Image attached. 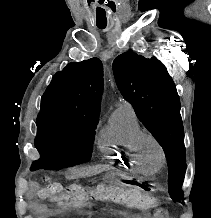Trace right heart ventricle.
I'll return each instance as SVG.
<instances>
[{"instance_id":"e07e8e85","label":"right heart ventricle","mask_w":211,"mask_h":218,"mask_svg":"<svg viewBox=\"0 0 211 218\" xmlns=\"http://www.w3.org/2000/svg\"><path fill=\"white\" fill-rule=\"evenodd\" d=\"M143 132L140 120L130 105L118 106L99 134L101 157L118 169H144L138 164V137Z\"/></svg>"}]
</instances>
